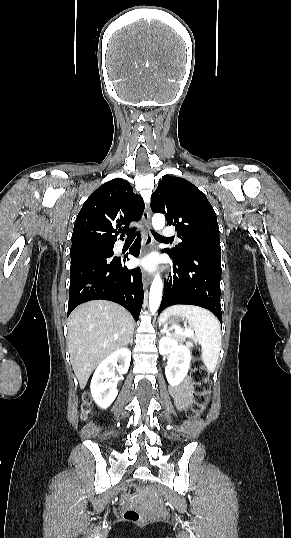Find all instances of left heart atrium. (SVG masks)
Returning a JSON list of instances; mask_svg holds the SVG:
<instances>
[{
    "instance_id": "left-heart-atrium-1",
    "label": "left heart atrium",
    "mask_w": 291,
    "mask_h": 538,
    "mask_svg": "<svg viewBox=\"0 0 291 538\" xmlns=\"http://www.w3.org/2000/svg\"><path fill=\"white\" fill-rule=\"evenodd\" d=\"M140 263L145 268L152 269L156 264V258L154 256H149V257L143 259Z\"/></svg>"
}]
</instances>
